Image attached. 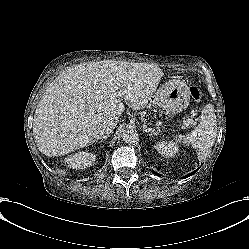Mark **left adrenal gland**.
I'll list each match as a JSON object with an SVG mask.
<instances>
[{
  "instance_id": "left-adrenal-gland-1",
  "label": "left adrenal gland",
  "mask_w": 249,
  "mask_h": 249,
  "mask_svg": "<svg viewBox=\"0 0 249 249\" xmlns=\"http://www.w3.org/2000/svg\"><path fill=\"white\" fill-rule=\"evenodd\" d=\"M143 131L149 136L158 135V132L154 128H148L147 125H143Z\"/></svg>"
}]
</instances>
